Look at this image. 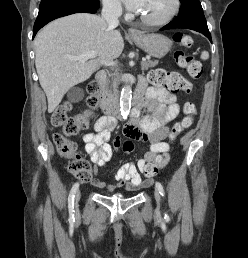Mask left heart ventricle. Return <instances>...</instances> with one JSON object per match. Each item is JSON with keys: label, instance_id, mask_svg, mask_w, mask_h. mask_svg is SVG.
Returning <instances> with one entry per match:
<instances>
[{"label": "left heart ventricle", "instance_id": "1", "mask_svg": "<svg viewBox=\"0 0 248 258\" xmlns=\"http://www.w3.org/2000/svg\"><path fill=\"white\" fill-rule=\"evenodd\" d=\"M174 0H143L140 16L149 20L166 17L172 10Z\"/></svg>", "mask_w": 248, "mask_h": 258}]
</instances>
